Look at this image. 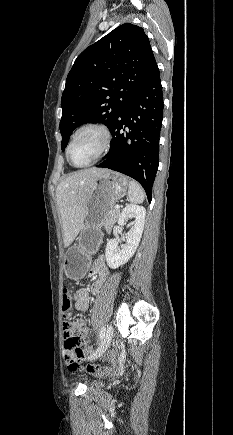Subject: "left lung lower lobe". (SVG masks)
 Wrapping results in <instances>:
<instances>
[{"mask_svg": "<svg viewBox=\"0 0 233 435\" xmlns=\"http://www.w3.org/2000/svg\"><path fill=\"white\" fill-rule=\"evenodd\" d=\"M163 95L159 68L125 106L110 132L112 142L106 160L97 167L109 168L137 180L151 202L158 168Z\"/></svg>", "mask_w": 233, "mask_h": 435, "instance_id": "obj_1", "label": "left lung lower lobe"}]
</instances>
